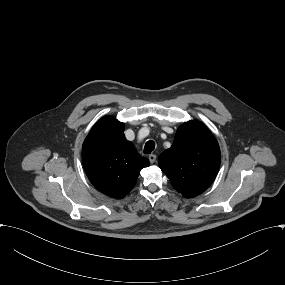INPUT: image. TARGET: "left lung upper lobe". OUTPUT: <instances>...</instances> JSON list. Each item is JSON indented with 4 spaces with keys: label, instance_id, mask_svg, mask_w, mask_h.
I'll return each instance as SVG.
<instances>
[{
    "label": "left lung upper lobe",
    "instance_id": "1",
    "mask_svg": "<svg viewBox=\"0 0 285 285\" xmlns=\"http://www.w3.org/2000/svg\"><path fill=\"white\" fill-rule=\"evenodd\" d=\"M161 170L184 197L204 192L215 179L220 166L219 145L201 122L181 125L173 145L158 158Z\"/></svg>",
    "mask_w": 285,
    "mask_h": 285
}]
</instances>
